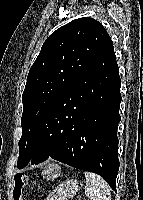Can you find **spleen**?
Segmentation results:
<instances>
[{"mask_svg":"<svg viewBox=\"0 0 143 200\" xmlns=\"http://www.w3.org/2000/svg\"><path fill=\"white\" fill-rule=\"evenodd\" d=\"M86 178L85 195L90 200H111L110 188L99 175L91 172L84 173Z\"/></svg>","mask_w":143,"mask_h":200,"instance_id":"3e777b00","label":"spleen"}]
</instances>
